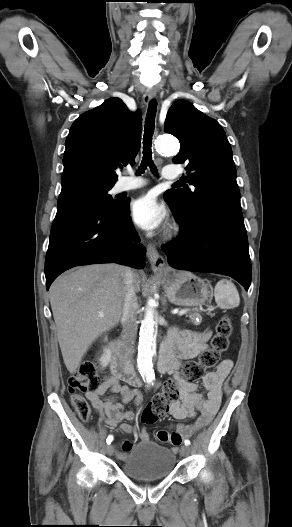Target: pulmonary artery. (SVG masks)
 I'll return each instance as SVG.
<instances>
[{"label": "pulmonary artery", "mask_w": 292, "mask_h": 527, "mask_svg": "<svg viewBox=\"0 0 292 527\" xmlns=\"http://www.w3.org/2000/svg\"><path fill=\"white\" fill-rule=\"evenodd\" d=\"M162 177L167 180H174L178 177V172L175 166H165L162 170ZM145 185V181L139 177L130 176L121 179L116 188L118 191H129L140 188Z\"/></svg>", "instance_id": "e3ab8cb5"}]
</instances>
